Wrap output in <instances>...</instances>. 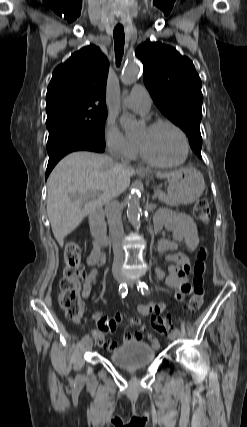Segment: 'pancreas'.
<instances>
[{
  "mask_svg": "<svg viewBox=\"0 0 247 427\" xmlns=\"http://www.w3.org/2000/svg\"><path fill=\"white\" fill-rule=\"evenodd\" d=\"M155 193H156L157 198L159 199L160 202L168 204L170 206H176L177 205V203L173 199H171L168 195H166L161 190H156Z\"/></svg>",
  "mask_w": 247,
  "mask_h": 427,
  "instance_id": "cf45deb5",
  "label": "pancreas"
}]
</instances>
